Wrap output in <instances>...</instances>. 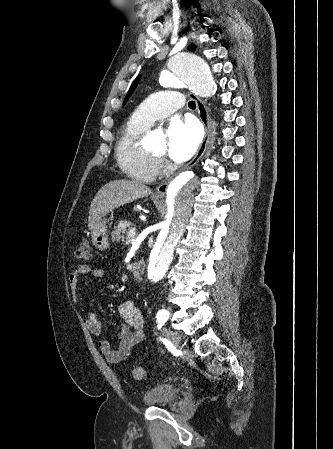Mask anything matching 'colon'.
<instances>
[{
  "label": "colon",
  "instance_id": "5ec220e1",
  "mask_svg": "<svg viewBox=\"0 0 333 449\" xmlns=\"http://www.w3.org/2000/svg\"><path fill=\"white\" fill-rule=\"evenodd\" d=\"M91 253V246L87 240H82L78 244L76 256L80 259H88ZM135 379L142 380L145 377V371L142 367H136L133 370Z\"/></svg>",
  "mask_w": 333,
  "mask_h": 449
}]
</instances>
